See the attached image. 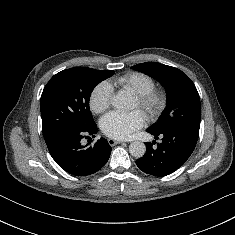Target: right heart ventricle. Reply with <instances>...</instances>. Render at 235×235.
<instances>
[{"instance_id": "right-heart-ventricle-1", "label": "right heart ventricle", "mask_w": 235, "mask_h": 235, "mask_svg": "<svg viewBox=\"0 0 235 235\" xmlns=\"http://www.w3.org/2000/svg\"><path fill=\"white\" fill-rule=\"evenodd\" d=\"M112 84L137 94L149 92L155 88V81L152 77L141 72H130L116 78Z\"/></svg>"}]
</instances>
